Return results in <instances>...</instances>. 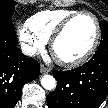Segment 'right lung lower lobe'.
I'll return each instance as SVG.
<instances>
[{
	"label": "right lung lower lobe",
	"mask_w": 108,
	"mask_h": 108,
	"mask_svg": "<svg viewBox=\"0 0 108 108\" xmlns=\"http://www.w3.org/2000/svg\"><path fill=\"white\" fill-rule=\"evenodd\" d=\"M40 69L36 60L17 47L13 25L0 24V108H13L26 82L36 79Z\"/></svg>",
	"instance_id": "right-lung-lower-lobe-1"
}]
</instances>
